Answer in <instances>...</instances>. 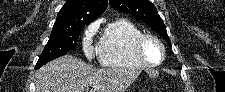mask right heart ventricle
I'll list each match as a JSON object with an SVG mask.
<instances>
[{
  "mask_svg": "<svg viewBox=\"0 0 225 92\" xmlns=\"http://www.w3.org/2000/svg\"><path fill=\"white\" fill-rule=\"evenodd\" d=\"M142 30L126 18H117L107 23L99 44L100 63L110 68H140L134 44Z\"/></svg>",
  "mask_w": 225,
  "mask_h": 92,
  "instance_id": "1",
  "label": "right heart ventricle"
}]
</instances>
